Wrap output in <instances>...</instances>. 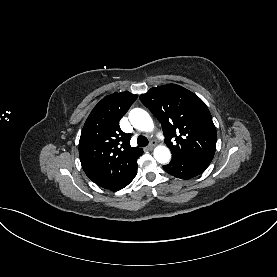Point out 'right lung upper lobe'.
<instances>
[{
	"mask_svg": "<svg viewBox=\"0 0 277 277\" xmlns=\"http://www.w3.org/2000/svg\"><path fill=\"white\" fill-rule=\"evenodd\" d=\"M137 99L128 91L104 97L91 111L81 132L79 156L86 175L98 186L112 189L137 165L143 151L130 146V134L120 119Z\"/></svg>",
	"mask_w": 277,
	"mask_h": 277,
	"instance_id": "obj_1",
	"label": "right lung upper lobe"
}]
</instances>
